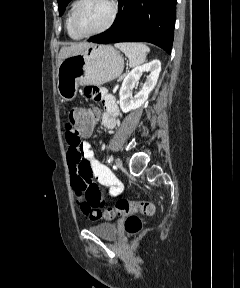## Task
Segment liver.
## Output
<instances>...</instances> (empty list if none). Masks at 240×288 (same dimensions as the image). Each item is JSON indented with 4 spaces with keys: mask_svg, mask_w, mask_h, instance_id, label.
<instances>
[{
    "mask_svg": "<svg viewBox=\"0 0 240 288\" xmlns=\"http://www.w3.org/2000/svg\"><path fill=\"white\" fill-rule=\"evenodd\" d=\"M90 45L91 43H74L71 46L62 47L59 53V64L63 59L81 52Z\"/></svg>",
    "mask_w": 240,
    "mask_h": 288,
    "instance_id": "obj_1",
    "label": "liver"
}]
</instances>
